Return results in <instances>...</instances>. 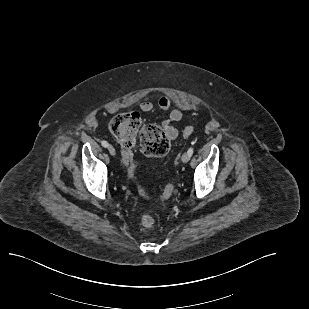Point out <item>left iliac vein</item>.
I'll return each mask as SVG.
<instances>
[{
	"instance_id": "4c4485c4",
	"label": "left iliac vein",
	"mask_w": 309,
	"mask_h": 309,
	"mask_svg": "<svg viewBox=\"0 0 309 309\" xmlns=\"http://www.w3.org/2000/svg\"><path fill=\"white\" fill-rule=\"evenodd\" d=\"M190 157H191V156L189 155V153L186 152V153H184V154L182 155L181 160H182L183 163H187V162L190 160Z\"/></svg>"
}]
</instances>
